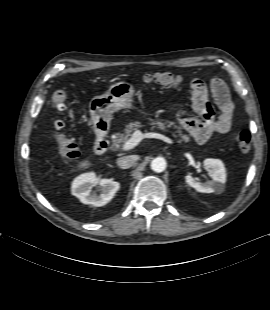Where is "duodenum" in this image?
<instances>
[{"label":"duodenum","mask_w":270,"mask_h":310,"mask_svg":"<svg viewBox=\"0 0 270 310\" xmlns=\"http://www.w3.org/2000/svg\"><path fill=\"white\" fill-rule=\"evenodd\" d=\"M97 140L94 146L96 154H104L109 148L108 128L106 125L97 127Z\"/></svg>","instance_id":"duodenum-1"}]
</instances>
